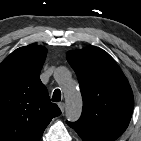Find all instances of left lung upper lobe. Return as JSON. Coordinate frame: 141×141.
Here are the masks:
<instances>
[{"label": "left lung upper lobe", "mask_w": 141, "mask_h": 141, "mask_svg": "<svg viewBox=\"0 0 141 141\" xmlns=\"http://www.w3.org/2000/svg\"><path fill=\"white\" fill-rule=\"evenodd\" d=\"M77 74L83 113L67 124L83 141H115L128 127L134 98L131 87L114 59L98 47L67 53Z\"/></svg>", "instance_id": "1"}]
</instances>
